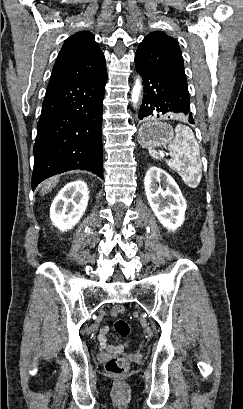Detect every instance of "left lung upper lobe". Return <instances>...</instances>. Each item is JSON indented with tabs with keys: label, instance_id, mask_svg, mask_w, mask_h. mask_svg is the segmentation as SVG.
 <instances>
[{
	"label": "left lung upper lobe",
	"instance_id": "1",
	"mask_svg": "<svg viewBox=\"0 0 243 409\" xmlns=\"http://www.w3.org/2000/svg\"><path fill=\"white\" fill-rule=\"evenodd\" d=\"M135 65L187 85L180 47L174 38L161 31L145 36L136 51Z\"/></svg>",
	"mask_w": 243,
	"mask_h": 409
}]
</instances>
